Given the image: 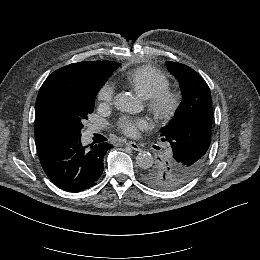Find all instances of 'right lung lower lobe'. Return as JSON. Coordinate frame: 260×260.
Returning <instances> with one entry per match:
<instances>
[{
	"label": "right lung lower lobe",
	"instance_id": "1",
	"mask_svg": "<svg viewBox=\"0 0 260 260\" xmlns=\"http://www.w3.org/2000/svg\"><path fill=\"white\" fill-rule=\"evenodd\" d=\"M88 146L91 148L86 149ZM88 146H82L81 137L67 138L39 157L44 172L60 189L77 193L95 185L100 178L103 158L112 145L103 142Z\"/></svg>",
	"mask_w": 260,
	"mask_h": 260
}]
</instances>
